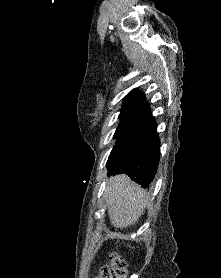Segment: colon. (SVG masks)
I'll use <instances>...</instances> for the list:
<instances>
[{
    "label": "colon",
    "mask_w": 221,
    "mask_h": 278,
    "mask_svg": "<svg viewBox=\"0 0 221 278\" xmlns=\"http://www.w3.org/2000/svg\"><path fill=\"white\" fill-rule=\"evenodd\" d=\"M126 263L117 253L110 255V265L104 266L97 278H126Z\"/></svg>",
    "instance_id": "1"
}]
</instances>
